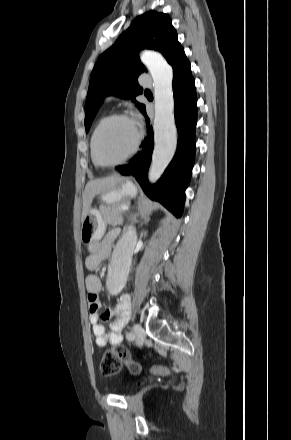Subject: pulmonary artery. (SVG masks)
Returning a JSON list of instances; mask_svg holds the SVG:
<instances>
[{
  "instance_id": "obj_1",
  "label": "pulmonary artery",
  "mask_w": 291,
  "mask_h": 440,
  "mask_svg": "<svg viewBox=\"0 0 291 440\" xmlns=\"http://www.w3.org/2000/svg\"><path fill=\"white\" fill-rule=\"evenodd\" d=\"M138 82L142 86L151 85V78L148 74L142 73L139 75Z\"/></svg>"
}]
</instances>
